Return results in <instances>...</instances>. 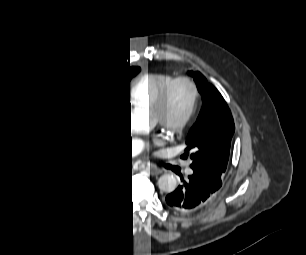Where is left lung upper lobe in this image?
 <instances>
[{
    "label": "left lung upper lobe",
    "mask_w": 306,
    "mask_h": 255,
    "mask_svg": "<svg viewBox=\"0 0 306 255\" xmlns=\"http://www.w3.org/2000/svg\"><path fill=\"white\" fill-rule=\"evenodd\" d=\"M202 95L203 108L186 138L183 159L190 157V167H207L222 176L227 167L235 125L220 92L199 72H190Z\"/></svg>",
    "instance_id": "obj_1"
}]
</instances>
